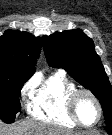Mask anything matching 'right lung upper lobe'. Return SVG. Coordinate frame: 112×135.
Returning a JSON list of instances; mask_svg holds the SVG:
<instances>
[{"label":"right lung upper lobe","mask_w":112,"mask_h":135,"mask_svg":"<svg viewBox=\"0 0 112 135\" xmlns=\"http://www.w3.org/2000/svg\"><path fill=\"white\" fill-rule=\"evenodd\" d=\"M41 50V39L29 33L7 30L0 37V77L11 74L32 76Z\"/></svg>","instance_id":"right-lung-upper-lobe-1"}]
</instances>
